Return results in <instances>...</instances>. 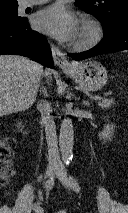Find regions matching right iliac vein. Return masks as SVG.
I'll list each match as a JSON object with an SVG mask.
<instances>
[{"label": "right iliac vein", "instance_id": "right-iliac-vein-1", "mask_svg": "<svg viewBox=\"0 0 128 213\" xmlns=\"http://www.w3.org/2000/svg\"><path fill=\"white\" fill-rule=\"evenodd\" d=\"M57 172H58V168L57 167H54V166L48 167L47 170H46V178L47 179L51 178Z\"/></svg>", "mask_w": 128, "mask_h": 213}]
</instances>
